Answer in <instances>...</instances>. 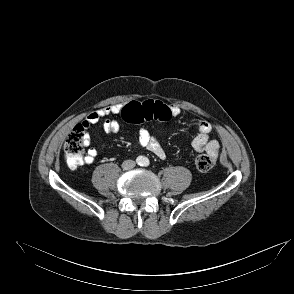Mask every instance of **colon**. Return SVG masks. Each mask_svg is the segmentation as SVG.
Segmentation results:
<instances>
[{
  "label": "colon",
  "instance_id": "obj_1",
  "mask_svg": "<svg viewBox=\"0 0 294 294\" xmlns=\"http://www.w3.org/2000/svg\"><path fill=\"white\" fill-rule=\"evenodd\" d=\"M123 119L130 123H143L150 120L167 121L172 118L170 107L160 101L148 100L144 102H130L121 112ZM85 130L77 125L67 136L64 143V153L69 167L77 168L84 163ZM216 163V157L210 154L197 156L195 164L200 172L210 171Z\"/></svg>",
  "mask_w": 294,
  "mask_h": 294
}]
</instances>
